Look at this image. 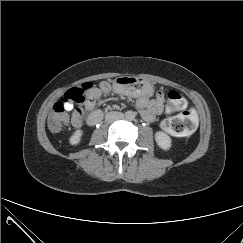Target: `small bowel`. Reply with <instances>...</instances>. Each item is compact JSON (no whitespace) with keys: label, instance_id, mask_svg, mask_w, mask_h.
I'll list each match as a JSON object with an SVG mask.
<instances>
[{"label":"small bowel","instance_id":"c3829d8e","mask_svg":"<svg viewBox=\"0 0 243 243\" xmlns=\"http://www.w3.org/2000/svg\"><path fill=\"white\" fill-rule=\"evenodd\" d=\"M109 92V87L104 89L102 87H97L93 89V100L86 105V108L90 110L94 104L95 100L99 99L102 95ZM136 106L140 115L145 121L152 122L155 120L156 116L161 114L163 111V99L157 97L155 99L149 98L147 95H141L137 101ZM73 109L72 104L67 105V110L71 111ZM72 123L74 126L78 127L81 125V120H78L76 117L72 118Z\"/></svg>","mask_w":243,"mask_h":243}]
</instances>
